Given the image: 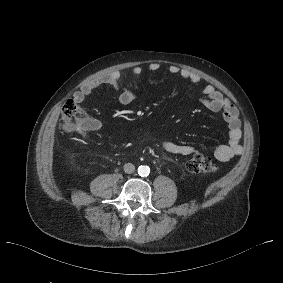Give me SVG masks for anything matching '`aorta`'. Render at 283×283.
Segmentation results:
<instances>
[{"mask_svg": "<svg viewBox=\"0 0 283 283\" xmlns=\"http://www.w3.org/2000/svg\"><path fill=\"white\" fill-rule=\"evenodd\" d=\"M149 173H150V168H149L148 166H146V165H141V166L138 167V174H139L140 176L145 177V176H148Z\"/></svg>", "mask_w": 283, "mask_h": 283, "instance_id": "1", "label": "aorta"}]
</instances>
